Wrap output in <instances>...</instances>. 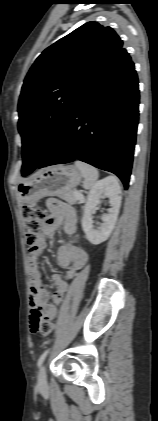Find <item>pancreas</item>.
Listing matches in <instances>:
<instances>
[{
  "label": "pancreas",
  "mask_w": 158,
  "mask_h": 421,
  "mask_svg": "<svg viewBox=\"0 0 158 421\" xmlns=\"http://www.w3.org/2000/svg\"><path fill=\"white\" fill-rule=\"evenodd\" d=\"M74 192L75 191H69V192H67V193H64L63 195H62V198L64 199V200H66L67 202H69L70 204H75V203H79V204H81V203H83L84 201H85V199L82 197V198H78V197H76L75 195H74Z\"/></svg>",
  "instance_id": "obj_1"
}]
</instances>
